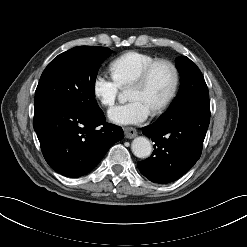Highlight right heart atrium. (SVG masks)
Segmentation results:
<instances>
[{
    "label": "right heart atrium",
    "mask_w": 247,
    "mask_h": 247,
    "mask_svg": "<svg viewBox=\"0 0 247 247\" xmlns=\"http://www.w3.org/2000/svg\"><path fill=\"white\" fill-rule=\"evenodd\" d=\"M94 97L103 106H112L119 96L121 87L105 72H97L92 83Z\"/></svg>",
    "instance_id": "1"
}]
</instances>
